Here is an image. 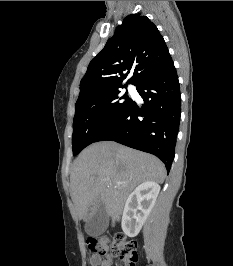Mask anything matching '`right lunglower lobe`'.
I'll list each match as a JSON object with an SVG mask.
<instances>
[{
	"label": "right lung lower lobe",
	"mask_w": 233,
	"mask_h": 266,
	"mask_svg": "<svg viewBox=\"0 0 233 266\" xmlns=\"http://www.w3.org/2000/svg\"><path fill=\"white\" fill-rule=\"evenodd\" d=\"M144 100L135 102L109 126L97 141L110 140L157 156L169 171L180 123L178 76L170 58L137 85Z\"/></svg>",
	"instance_id": "obj_1"
}]
</instances>
